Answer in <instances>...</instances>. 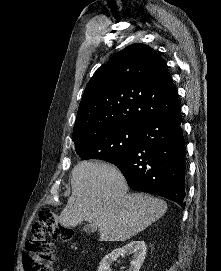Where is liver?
Listing matches in <instances>:
<instances>
[{"label":"liver","mask_w":221,"mask_h":271,"mask_svg":"<svg viewBox=\"0 0 221 271\" xmlns=\"http://www.w3.org/2000/svg\"><path fill=\"white\" fill-rule=\"evenodd\" d=\"M72 193L60 223L76 227L88 221L99 229V241H126L157 221L167 209L164 199L148 193H127L118 167L104 161H79L71 171Z\"/></svg>","instance_id":"1"}]
</instances>
